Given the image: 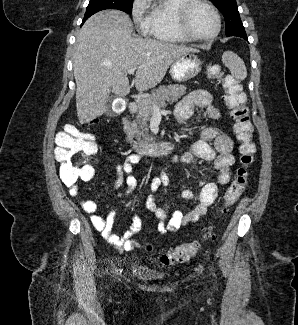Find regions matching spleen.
Instances as JSON below:
<instances>
[{
  "mask_svg": "<svg viewBox=\"0 0 298 325\" xmlns=\"http://www.w3.org/2000/svg\"><path fill=\"white\" fill-rule=\"evenodd\" d=\"M222 62H224L225 66L229 68L232 76L235 78H239V80H244L247 76V68L245 66L244 60L236 54V52H232V50H225L222 54Z\"/></svg>",
  "mask_w": 298,
  "mask_h": 325,
  "instance_id": "1",
  "label": "spleen"
}]
</instances>
